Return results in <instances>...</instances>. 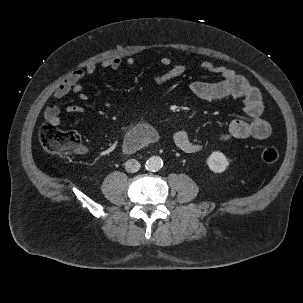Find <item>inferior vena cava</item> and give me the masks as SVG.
<instances>
[{
  "label": "inferior vena cava",
  "instance_id": "obj_1",
  "mask_svg": "<svg viewBox=\"0 0 303 303\" xmlns=\"http://www.w3.org/2000/svg\"><path fill=\"white\" fill-rule=\"evenodd\" d=\"M141 164L136 159H129L125 163V169L127 172L135 173L140 169Z\"/></svg>",
  "mask_w": 303,
  "mask_h": 303
}]
</instances>
